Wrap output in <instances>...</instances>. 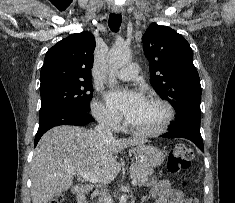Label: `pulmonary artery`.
Masks as SVG:
<instances>
[{
    "mask_svg": "<svg viewBox=\"0 0 235 203\" xmlns=\"http://www.w3.org/2000/svg\"><path fill=\"white\" fill-rule=\"evenodd\" d=\"M138 64L136 63H130L118 72L115 73V76L118 79L124 80V81H130L137 77L138 75Z\"/></svg>",
    "mask_w": 235,
    "mask_h": 203,
    "instance_id": "obj_1",
    "label": "pulmonary artery"
}]
</instances>
